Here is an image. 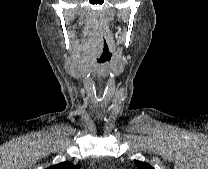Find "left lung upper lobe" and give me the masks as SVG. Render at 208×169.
<instances>
[{"label":"left lung upper lobe","mask_w":208,"mask_h":169,"mask_svg":"<svg viewBox=\"0 0 208 169\" xmlns=\"http://www.w3.org/2000/svg\"><path fill=\"white\" fill-rule=\"evenodd\" d=\"M134 163L138 169H154L150 164L145 163V162L134 160Z\"/></svg>","instance_id":"left-lung-upper-lobe-1"}]
</instances>
